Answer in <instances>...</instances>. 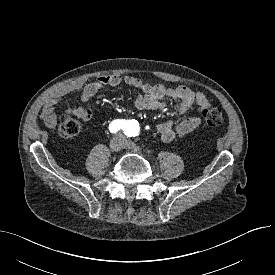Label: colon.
<instances>
[{
	"label": "colon",
	"instance_id": "obj_1",
	"mask_svg": "<svg viewBox=\"0 0 275 275\" xmlns=\"http://www.w3.org/2000/svg\"><path fill=\"white\" fill-rule=\"evenodd\" d=\"M202 116L206 125L214 127L223 122L222 112L217 108L204 109ZM81 126L79 122L69 114L60 117L58 133L62 138L70 139L79 134Z\"/></svg>",
	"mask_w": 275,
	"mask_h": 275
}]
</instances>
